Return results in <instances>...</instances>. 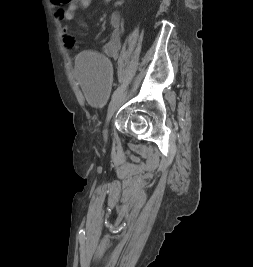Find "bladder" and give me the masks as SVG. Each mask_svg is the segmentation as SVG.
<instances>
[{"mask_svg": "<svg viewBox=\"0 0 253 267\" xmlns=\"http://www.w3.org/2000/svg\"><path fill=\"white\" fill-rule=\"evenodd\" d=\"M74 74L87 100L96 107H102L111 91L108 59L99 52L84 51L76 58Z\"/></svg>", "mask_w": 253, "mask_h": 267, "instance_id": "31cf9c89", "label": "bladder"}]
</instances>
